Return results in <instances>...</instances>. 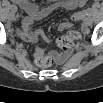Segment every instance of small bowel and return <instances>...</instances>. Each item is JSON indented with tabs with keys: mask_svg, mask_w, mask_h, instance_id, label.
<instances>
[{
	"mask_svg": "<svg viewBox=\"0 0 103 103\" xmlns=\"http://www.w3.org/2000/svg\"><path fill=\"white\" fill-rule=\"evenodd\" d=\"M86 4L85 0H58L50 2L44 7H39L38 5L28 1V0H19L14 2L13 5L9 6L12 10V6L15 7V10L18 7L23 9L26 13L25 18L22 20L21 28L17 30V34L26 41L36 43L40 39L45 38V35L42 31H33L32 27L35 21L42 19L54 11L65 9V10H74L76 8H81ZM12 10V11H15ZM12 17L15 15L12 13ZM89 16V12L85 11L82 14L75 16V19L83 22V28H86V20ZM72 26L69 22H62L59 24V30H65ZM41 50H36V56L40 55ZM70 55V52L60 54V62L65 61Z\"/></svg>",
	"mask_w": 103,
	"mask_h": 103,
	"instance_id": "small-bowel-1",
	"label": "small bowel"
}]
</instances>
